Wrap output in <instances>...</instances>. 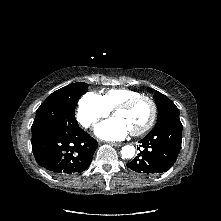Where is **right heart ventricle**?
I'll list each match as a JSON object with an SVG mask.
<instances>
[{"label":"right heart ventricle","instance_id":"1","mask_svg":"<svg viewBox=\"0 0 221 221\" xmlns=\"http://www.w3.org/2000/svg\"><path fill=\"white\" fill-rule=\"evenodd\" d=\"M139 95H141V93L132 89L115 88L106 91L101 97L108 109L112 111L122 102Z\"/></svg>","mask_w":221,"mask_h":221}]
</instances>
